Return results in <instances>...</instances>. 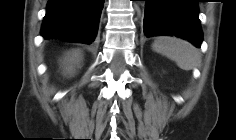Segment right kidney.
<instances>
[{"mask_svg": "<svg viewBox=\"0 0 236 140\" xmlns=\"http://www.w3.org/2000/svg\"><path fill=\"white\" fill-rule=\"evenodd\" d=\"M82 54L80 50H72L66 54L61 62L64 75H73L80 67Z\"/></svg>", "mask_w": 236, "mask_h": 140, "instance_id": "ca27d5eb", "label": "right kidney"}]
</instances>
